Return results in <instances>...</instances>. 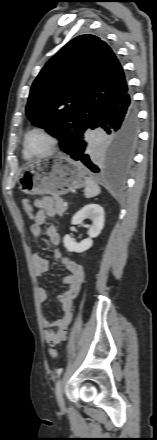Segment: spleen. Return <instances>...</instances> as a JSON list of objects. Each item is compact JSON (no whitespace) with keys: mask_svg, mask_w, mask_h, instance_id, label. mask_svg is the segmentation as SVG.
I'll return each instance as SVG.
<instances>
[{"mask_svg":"<svg viewBox=\"0 0 157 440\" xmlns=\"http://www.w3.org/2000/svg\"><path fill=\"white\" fill-rule=\"evenodd\" d=\"M85 197L92 198L100 193V187L90 177L85 178Z\"/></svg>","mask_w":157,"mask_h":440,"instance_id":"3e777b00","label":"spleen"}]
</instances>
